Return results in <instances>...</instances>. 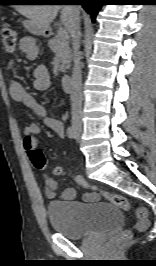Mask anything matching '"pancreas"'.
I'll return each instance as SVG.
<instances>
[{"mask_svg": "<svg viewBox=\"0 0 156 266\" xmlns=\"http://www.w3.org/2000/svg\"><path fill=\"white\" fill-rule=\"evenodd\" d=\"M48 45L61 62L60 71L65 73L70 68L72 57L69 38L56 35L49 41Z\"/></svg>", "mask_w": 156, "mask_h": 266, "instance_id": "pancreas-1", "label": "pancreas"}]
</instances>
